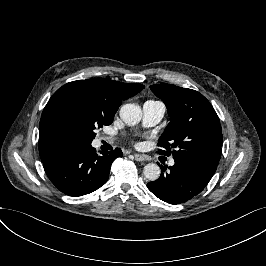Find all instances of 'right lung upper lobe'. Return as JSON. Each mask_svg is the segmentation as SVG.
<instances>
[{
    "mask_svg": "<svg viewBox=\"0 0 266 266\" xmlns=\"http://www.w3.org/2000/svg\"><path fill=\"white\" fill-rule=\"evenodd\" d=\"M76 86L98 89L102 93L107 105L116 111L123 100L136 95L145 87L139 83L127 84L103 78L78 80L63 85L50 98L40 120L39 152L42 162H45L55 150L66 145L64 137L55 122L53 104L63 91Z\"/></svg>",
    "mask_w": 266,
    "mask_h": 266,
    "instance_id": "right-lung-upper-lobe-1",
    "label": "right lung upper lobe"
}]
</instances>
